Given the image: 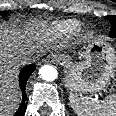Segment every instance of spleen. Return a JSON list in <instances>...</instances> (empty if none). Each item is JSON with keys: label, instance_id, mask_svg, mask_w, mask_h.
Returning <instances> with one entry per match:
<instances>
[{"label": "spleen", "instance_id": "1", "mask_svg": "<svg viewBox=\"0 0 116 116\" xmlns=\"http://www.w3.org/2000/svg\"><path fill=\"white\" fill-rule=\"evenodd\" d=\"M69 101L78 116H116V95L108 96L99 103L70 93Z\"/></svg>", "mask_w": 116, "mask_h": 116}]
</instances>
